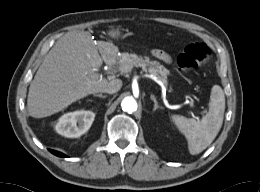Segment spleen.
I'll return each mask as SVG.
<instances>
[{
  "instance_id": "obj_1",
  "label": "spleen",
  "mask_w": 260,
  "mask_h": 192,
  "mask_svg": "<svg viewBox=\"0 0 260 192\" xmlns=\"http://www.w3.org/2000/svg\"><path fill=\"white\" fill-rule=\"evenodd\" d=\"M225 96L219 85L211 89L209 111L200 121L181 115H172L171 120L186 137L190 154L196 155L205 150L216 138L223 123Z\"/></svg>"
}]
</instances>
